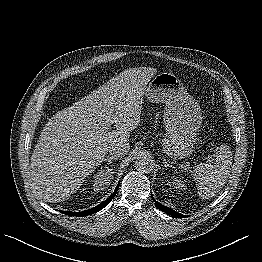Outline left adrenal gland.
<instances>
[{
	"instance_id": "a2214340",
	"label": "left adrenal gland",
	"mask_w": 262,
	"mask_h": 262,
	"mask_svg": "<svg viewBox=\"0 0 262 262\" xmlns=\"http://www.w3.org/2000/svg\"><path fill=\"white\" fill-rule=\"evenodd\" d=\"M163 163L165 167H172V164H174V162H171V164H169L165 158H163Z\"/></svg>"
}]
</instances>
